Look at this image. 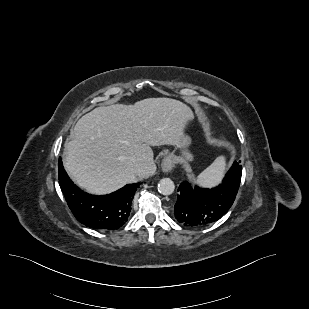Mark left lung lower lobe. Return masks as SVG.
<instances>
[{"mask_svg": "<svg viewBox=\"0 0 309 309\" xmlns=\"http://www.w3.org/2000/svg\"><path fill=\"white\" fill-rule=\"evenodd\" d=\"M242 167L236 161L222 183L212 189L183 182L175 204V218L188 227H204L219 220L232 206L241 182Z\"/></svg>", "mask_w": 309, "mask_h": 309, "instance_id": "0a47b994", "label": "left lung lower lobe"}]
</instances>
